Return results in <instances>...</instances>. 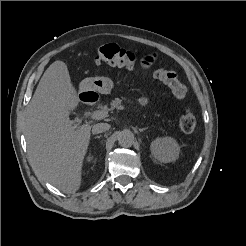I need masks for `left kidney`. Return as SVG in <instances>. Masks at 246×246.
Segmentation results:
<instances>
[{"label":"left kidney","instance_id":"5707ae66","mask_svg":"<svg viewBox=\"0 0 246 246\" xmlns=\"http://www.w3.org/2000/svg\"><path fill=\"white\" fill-rule=\"evenodd\" d=\"M152 155L160 162L169 163L179 157L180 147L172 137H158L150 145Z\"/></svg>","mask_w":246,"mask_h":246}]
</instances>
